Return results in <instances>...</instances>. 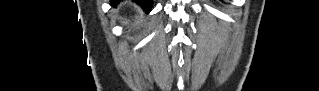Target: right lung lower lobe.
Here are the masks:
<instances>
[{
  "label": "right lung lower lobe",
  "mask_w": 319,
  "mask_h": 91,
  "mask_svg": "<svg viewBox=\"0 0 319 91\" xmlns=\"http://www.w3.org/2000/svg\"><path fill=\"white\" fill-rule=\"evenodd\" d=\"M121 0H112L111 3L112 5H117L118 2H120ZM134 2H136L138 5H140L144 10H146L147 13L150 12L152 5H153V1L152 0H134Z\"/></svg>",
  "instance_id": "right-lung-lower-lobe-1"
}]
</instances>
